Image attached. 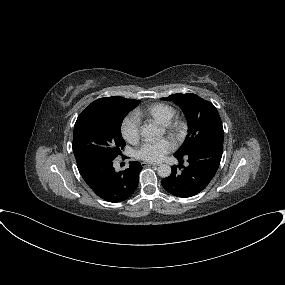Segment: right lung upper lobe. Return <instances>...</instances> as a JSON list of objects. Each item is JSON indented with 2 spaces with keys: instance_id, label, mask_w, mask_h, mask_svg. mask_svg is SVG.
I'll list each match as a JSON object with an SVG mask.
<instances>
[{
  "instance_id": "obj_1",
  "label": "right lung upper lobe",
  "mask_w": 285,
  "mask_h": 285,
  "mask_svg": "<svg viewBox=\"0 0 285 285\" xmlns=\"http://www.w3.org/2000/svg\"><path fill=\"white\" fill-rule=\"evenodd\" d=\"M119 98H122V97L112 96V97L100 98V99H97L94 102H92L90 104V106L98 105V104H101V103H104V102H107V101H111V100H116V99H119Z\"/></svg>"
}]
</instances>
